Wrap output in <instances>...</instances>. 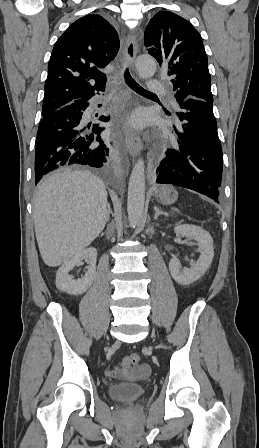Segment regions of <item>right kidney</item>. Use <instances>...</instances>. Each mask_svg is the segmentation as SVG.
Instances as JSON below:
<instances>
[{"label": "right kidney", "instance_id": "1", "mask_svg": "<svg viewBox=\"0 0 259 448\" xmlns=\"http://www.w3.org/2000/svg\"><path fill=\"white\" fill-rule=\"evenodd\" d=\"M85 260L89 266H87L88 272L80 278V280H73L69 276L68 272L73 270L74 266H77L79 262ZM96 262H97V250L95 248H87V250H82L73 258H70L69 262L63 264L59 268L56 274V288L62 290V292H67V294H72V296H78V294H84L90 286H92L95 276H96Z\"/></svg>", "mask_w": 259, "mask_h": 448}]
</instances>
